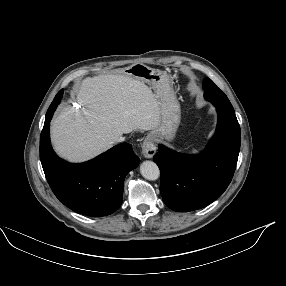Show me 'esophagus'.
Segmentation results:
<instances>
[{"mask_svg": "<svg viewBox=\"0 0 286 286\" xmlns=\"http://www.w3.org/2000/svg\"><path fill=\"white\" fill-rule=\"evenodd\" d=\"M156 153V146L154 144L153 138L147 136L142 143V155L145 158H152Z\"/></svg>", "mask_w": 286, "mask_h": 286, "instance_id": "obj_1", "label": "esophagus"}]
</instances>
